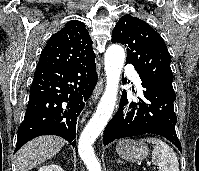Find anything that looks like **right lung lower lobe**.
I'll return each mask as SVG.
<instances>
[{
  "label": "right lung lower lobe",
  "instance_id": "1",
  "mask_svg": "<svg viewBox=\"0 0 199 171\" xmlns=\"http://www.w3.org/2000/svg\"><path fill=\"white\" fill-rule=\"evenodd\" d=\"M94 59L77 65L36 68L14 153L29 140L48 134L75 146L77 117L98 79Z\"/></svg>",
  "mask_w": 199,
  "mask_h": 171
}]
</instances>
